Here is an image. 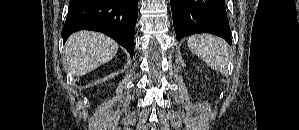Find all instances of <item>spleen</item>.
<instances>
[{"instance_id":"obj_1","label":"spleen","mask_w":299,"mask_h":130,"mask_svg":"<svg viewBox=\"0 0 299 130\" xmlns=\"http://www.w3.org/2000/svg\"><path fill=\"white\" fill-rule=\"evenodd\" d=\"M187 45L211 69L225 73L229 52L224 40L213 35L197 34L188 38Z\"/></svg>"}]
</instances>
